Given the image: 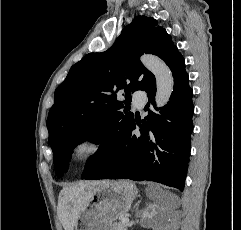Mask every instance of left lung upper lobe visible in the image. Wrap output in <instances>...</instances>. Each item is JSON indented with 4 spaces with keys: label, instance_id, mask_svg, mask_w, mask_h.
I'll use <instances>...</instances> for the list:
<instances>
[{
    "label": "left lung upper lobe",
    "instance_id": "1",
    "mask_svg": "<svg viewBox=\"0 0 241 230\" xmlns=\"http://www.w3.org/2000/svg\"><path fill=\"white\" fill-rule=\"evenodd\" d=\"M150 53L168 66L180 54L157 20L137 16L124 27L111 48L90 53L73 65L54 93L47 128L57 177L67 171L73 149L85 140L108 143L134 121L127 112L131 92L145 91L155 83L154 75L139 60ZM125 93V101L116 94ZM124 109V111H122Z\"/></svg>",
    "mask_w": 241,
    "mask_h": 230
}]
</instances>
